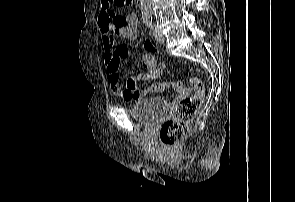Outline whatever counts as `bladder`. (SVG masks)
I'll use <instances>...</instances> for the list:
<instances>
[{
    "label": "bladder",
    "mask_w": 295,
    "mask_h": 202,
    "mask_svg": "<svg viewBox=\"0 0 295 202\" xmlns=\"http://www.w3.org/2000/svg\"><path fill=\"white\" fill-rule=\"evenodd\" d=\"M167 108L165 98L152 96L137 101L130 109V114L144 125H154L165 116Z\"/></svg>",
    "instance_id": "1"
}]
</instances>
